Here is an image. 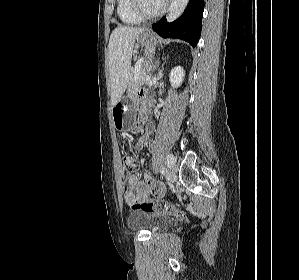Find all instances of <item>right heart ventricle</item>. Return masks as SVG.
<instances>
[{
  "instance_id": "e07e8e85",
  "label": "right heart ventricle",
  "mask_w": 299,
  "mask_h": 280,
  "mask_svg": "<svg viewBox=\"0 0 299 280\" xmlns=\"http://www.w3.org/2000/svg\"><path fill=\"white\" fill-rule=\"evenodd\" d=\"M117 14L119 19L127 25H137L142 21L133 13L130 0H117Z\"/></svg>"
}]
</instances>
